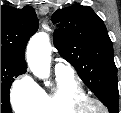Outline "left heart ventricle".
Returning <instances> with one entry per match:
<instances>
[{
    "label": "left heart ventricle",
    "instance_id": "obj_1",
    "mask_svg": "<svg viewBox=\"0 0 121 113\" xmlns=\"http://www.w3.org/2000/svg\"><path fill=\"white\" fill-rule=\"evenodd\" d=\"M90 111H91V113H102L101 108L98 107L97 105H91Z\"/></svg>",
    "mask_w": 121,
    "mask_h": 113
}]
</instances>
